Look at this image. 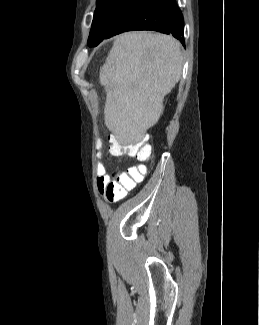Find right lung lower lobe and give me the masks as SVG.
I'll list each match as a JSON object with an SVG mask.
<instances>
[{"mask_svg":"<svg viewBox=\"0 0 259 325\" xmlns=\"http://www.w3.org/2000/svg\"><path fill=\"white\" fill-rule=\"evenodd\" d=\"M183 26L175 0H132L105 39L130 30H154L172 34L184 45Z\"/></svg>","mask_w":259,"mask_h":325,"instance_id":"right-lung-lower-lobe-1","label":"right lung lower lobe"}]
</instances>
